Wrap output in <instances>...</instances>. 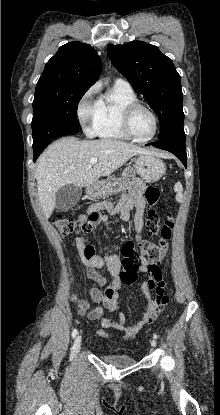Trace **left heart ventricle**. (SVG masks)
Masks as SVG:
<instances>
[{
	"label": "left heart ventricle",
	"instance_id": "obj_1",
	"mask_svg": "<svg viewBox=\"0 0 220 415\" xmlns=\"http://www.w3.org/2000/svg\"><path fill=\"white\" fill-rule=\"evenodd\" d=\"M130 129L137 138H147L154 131V121L149 112L144 109H137L131 116Z\"/></svg>",
	"mask_w": 220,
	"mask_h": 415
}]
</instances>
